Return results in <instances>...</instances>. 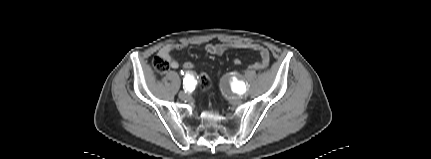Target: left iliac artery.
Segmentation results:
<instances>
[{
	"label": "left iliac artery",
	"mask_w": 431,
	"mask_h": 159,
	"mask_svg": "<svg viewBox=\"0 0 431 159\" xmlns=\"http://www.w3.org/2000/svg\"><path fill=\"white\" fill-rule=\"evenodd\" d=\"M235 87L237 89L236 92H238L239 94H243L246 91V86L243 82H237Z\"/></svg>",
	"instance_id": "left-iliac-artery-1"
}]
</instances>
